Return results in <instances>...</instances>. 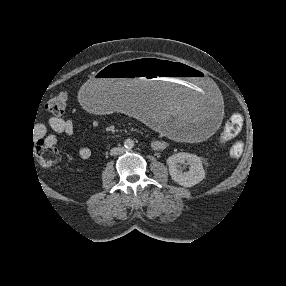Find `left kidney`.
Segmentation results:
<instances>
[{
    "instance_id": "1",
    "label": "left kidney",
    "mask_w": 286,
    "mask_h": 286,
    "mask_svg": "<svg viewBox=\"0 0 286 286\" xmlns=\"http://www.w3.org/2000/svg\"><path fill=\"white\" fill-rule=\"evenodd\" d=\"M185 163L189 165V170L183 172L181 165ZM167 165L172 180L184 187L200 183L206 175L200 157L194 154L185 152L173 154L167 159Z\"/></svg>"
}]
</instances>
